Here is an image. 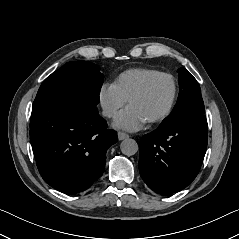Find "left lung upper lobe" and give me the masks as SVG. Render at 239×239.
Instances as JSON below:
<instances>
[{"label": "left lung upper lobe", "mask_w": 239, "mask_h": 239, "mask_svg": "<svg viewBox=\"0 0 239 239\" xmlns=\"http://www.w3.org/2000/svg\"><path fill=\"white\" fill-rule=\"evenodd\" d=\"M177 72L180 87L178 100L171 114L164 119L160 127L171 124L188 114L205 113L201 89L196 79L185 68H179Z\"/></svg>", "instance_id": "left-lung-upper-lobe-1"}]
</instances>
